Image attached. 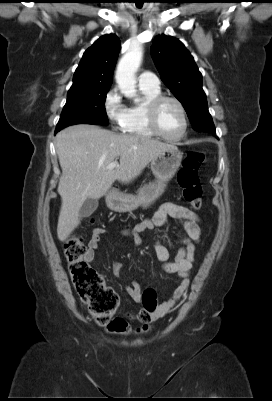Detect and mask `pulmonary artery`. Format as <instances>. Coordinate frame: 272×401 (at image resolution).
<instances>
[{
	"instance_id": "pulmonary-artery-1",
	"label": "pulmonary artery",
	"mask_w": 272,
	"mask_h": 401,
	"mask_svg": "<svg viewBox=\"0 0 272 401\" xmlns=\"http://www.w3.org/2000/svg\"><path fill=\"white\" fill-rule=\"evenodd\" d=\"M139 86L142 88H160L159 78L152 72L144 71L138 77Z\"/></svg>"
}]
</instances>
